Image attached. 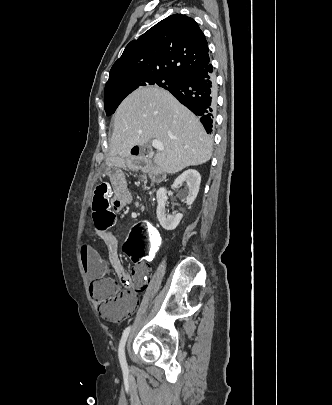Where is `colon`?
Wrapping results in <instances>:
<instances>
[{
  "label": "colon",
  "mask_w": 332,
  "mask_h": 405,
  "mask_svg": "<svg viewBox=\"0 0 332 405\" xmlns=\"http://www.w3.org/2000/svg\"><path fill=\"white\" fill-rule=\"evenodd\" d=\"M113 196L109 183L99 184L94 191L92 202L93 224L97 231L107 233L115 220V213L111 209L110 198ZM162 238L159 231L148 221H139L132 225L125 256H134L132 261L141 267L142 277L146 273L147 263L153 262V257L159 251ZM146 260V262H145ZM94 303L100 313L107 318H116L125 313L127 304L137 290L122 291L118 282L111 277H100L90 287Z\"/></svg>",
  "instance_id": "obj_1"
}]
</instances>
